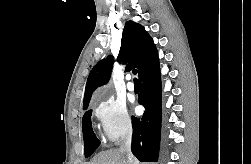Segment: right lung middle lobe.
<instances>
[{
	"label": "right lung middle lobe",
	"instance_id": "right-lung-middle-lobe-1",
	"mask_svg": "<svg viewBox=\"0 0 251 164\" xmlns=\"http://www.w3.org/2000/svg\"><path fill=\"white\" fill-rule=\"evenodd\" d=\"M88 106H84L86 110ZM92 110L87 111L83 116V135L85 157H89L99 146L100 141L96 138L91 124Z\"/></svg>",
	"mask_w": 251,
	"mask_h": 164
}]
</instances>
